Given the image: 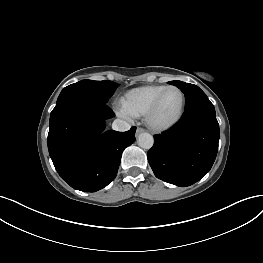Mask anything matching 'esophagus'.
Masks as SVG:
<instances>
[{"instance_id": "obj_1", "label": "esophagus", "mask_w": 263, "mask_h": 263, "mask_svg": "<svg viewBox=\"0 0 263 263\" xmlns=\"http://www.w3.org/2000/svg\"><path fill=\"white\" fill-rule=\"evenodd\" d=\"M145 130L143 128H137L136 135H139L140 133H143Z\"/></svg>"}]
</instances>
